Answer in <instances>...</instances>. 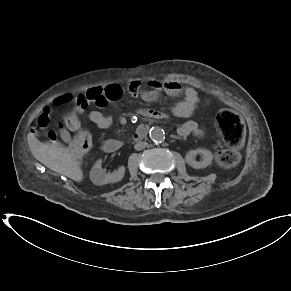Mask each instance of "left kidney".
<instances>
[{"mask_svg": "<svg viewBox=\"0 0 291 291\" xmlns=\"http://www.w3.org/2000/svg\"><path fill=\"white\" fill-rule=\"evenodd\" d=\"M197 154H201L203 160L202 161H196L195 156ZM213 155L212 153L207 149H196V150H190L185 157L186 163L191 166L194 169H202L207 166H209L212 162Z\"/></svg>", "mask_w": 291, "mask_h": 291, "instance_id": "1", "label": "left kidney"}]
</instances>
